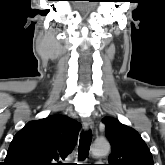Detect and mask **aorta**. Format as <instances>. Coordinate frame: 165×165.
<instances>
[{
  "label": "aorta",
  "mask_w": 165,
  "mask_h": 165,
  "mask_svg": "<svg viewBox=\"0 0 165 165\" xmlns=\"http://www.w3.org/2000/svg\"><path fill=\"white\" fill-rule=\"evenodd\" d=\"M91 151L95 156H104L109 153L110 145L107 141H97L93 144Z\"/></svg>",
  "instance_id": "aorta-1"
}]
</instances>
